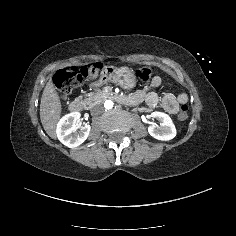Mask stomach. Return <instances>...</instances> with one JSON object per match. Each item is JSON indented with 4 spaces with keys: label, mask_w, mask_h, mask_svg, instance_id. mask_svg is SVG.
<instances>
[{
    "label": "stomach",
    "mask_w": 236,
    "mask_h": 236,
    "mask_svg": "<svg viewBox=\"0 0 236 236\" xmlns=\"http://www.w3.org/2000/svg\"><path fill=\"white\" fill-rule=\"evenodd\" d=\"M107 81L119 85L123 89H132L136 85V76L132 69L124 67H108Z\"/></svg>",
    "instance_id": "1"
}]
</instances>
